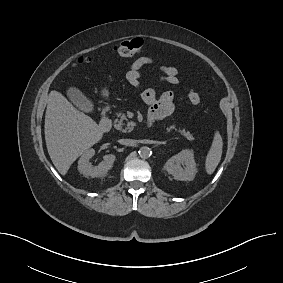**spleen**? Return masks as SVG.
I'll list each match as a JSON object with an SVG mask.
<instances>
[{"label": "spleen", "mask_w": 283, "mask_h": 283, "mask_svg": "<svg viewBox=\"0 0 283 283\" xmlns=\"http://www.w3.org/2000/svg\"><path fill=\"white\" fill-rule=\"evenodd\" d=\"M222 147H223L222 137L219 131H216L214 133L211 147L206 156L205 169L207 174L209 175L213 174L216 167L218 166L222 156Z\"/></svg>", "instance_id": "spleen-1"}]
</instances>
